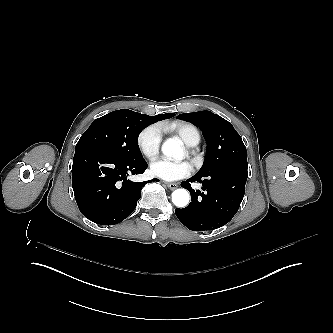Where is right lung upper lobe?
<instances>
[{"label": "right lung upper lobe", "instance_id": "right-lung-upper-lobe-1", "mask_svg": "<svg viewBox=\"0 0 333 333\" xmlns=\"http://www.w3.org/2000/svg\"><path fill=\"white\" fill-rule=\"evenodd\" d=\"M175 114L173 113H166V114H159V115H156V116H148V118L150 119L151 122L155 123L157 121H160V120H164V119H168V118H171L173 117Z\"/></svg>", "mask_w": 333, "mask_h": 333}]
</instances>
